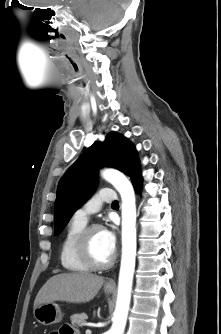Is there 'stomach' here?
Here are the masks:
<instances>
[{
  "instance_id": "obj_1",
  "label": "stomach",
  "mask_w": 221,
  "mask_h": 334,
  "mask_svg": "<svg viewBox=\"0 0 221 334\" xmlns=\"http://www.w3.org/2000/svg\"><path fill=\"white\" fill-rule=\"evenodd\" d=\"M105 292L110 294L113 289L105 287ZM34 318L42 325H52L62 320V312L58 304L54 302L44 303L36 307L33 311Z\"/></svg>"
}]
</instances>
